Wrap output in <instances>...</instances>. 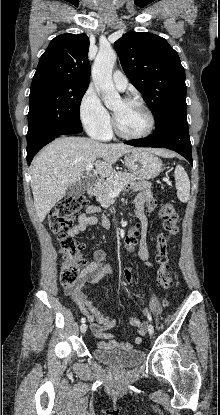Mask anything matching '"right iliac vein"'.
<instances>
[{
	"instance_id": "1",
	"label": "right iliac vein",
	"mask_w": 220,
	"mask_h": 415,
	"mask_svg": "<svg viewBox=\"0 0 220 415\" xmlns=\"http://www.w3.org/2000/svg\"><path fill=\"white\" fill-rule=\"evenodd\" d=\"M86 330H87V325H86V324H82V325L80 326V331H81V333H85V332H86Z\"/></svg>"
}]
</instances>
